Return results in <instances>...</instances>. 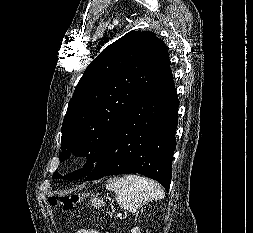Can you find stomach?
<instances>
[{"label":"stomach","instance_id":"stomach-1","mask_svg":"<svg viewBox=\"0 0 253 233\" xmlns=\"http://www.w3.org/2000/svg\"><path fill=\"white\" fill-rule=\"evenodd\" d=\"M90 204L91 206H93L94 208H101L102 206H104V201L100 198H98L97 196H93L90 200Z\"/></svg>","mask_w":253,"mask_h":233}]
</instances>
